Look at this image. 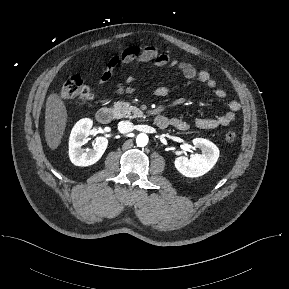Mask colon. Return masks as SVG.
I'll use <instances>...</instances> for the list:
<instances>
[{
  "label": "colon",
  "instance_id": "5ec220e1",
  "mask_svg": "<svg viewBox=\"0 0 289 289\" xmlns=\"http://www.w3.org/2000/svg\"><path fill=\"white\" fill-rule=\"evenodd\" d=\"M60 93L64 99H75L81 104H88L93 98L89 87L78 74L71 75L63 82ZM225 138L232 143L236 140L237 134L234 131H228Z\"/></svg>",
  "mask_w": 289,
  "mask_h": 289
}]
</instances>
